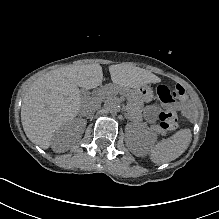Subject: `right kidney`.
Listing matches in <instances>:
<instances>
[{"label":"right kidney","instance_id":"ca27d5eb","mask_svg":"<svg viewBox=\"0 0 219 219\" xmlns=\"http://www.w3.org/2000/svg\"><path fill=\"white\" fill-rule=\"evenodd\" d=\"M73 129H75L76 132H79L80 130L79 126L73 123L71 125H66L64 128L54 133L53 138H52V144H51V148L54 152L63 153L69 149V146L65 142L68 135L74 136L76 138L81 137L82 133H80L79 135H76ZM83 131L84 130L82 128V132Z\"/></svg>","mask_w":219,"mask_h":219}]
</instances>
